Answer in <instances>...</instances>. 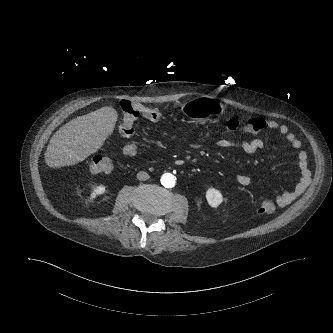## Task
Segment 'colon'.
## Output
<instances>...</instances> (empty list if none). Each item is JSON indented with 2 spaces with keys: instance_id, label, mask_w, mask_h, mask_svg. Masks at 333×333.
<instances>
[{
  "instance_id": "obj_1",
  "label": "colon",
  "mask_w": 333,
  "mask_h": 333,
  "mask_svg": "<svg viewBox=\"0 0 333 333\" xmlns=\"http://www.w3.org/2000/svg\"><path fill=\"white\" fill-rule=\"evenodd\" d=\"M123 118L119 125V132L124 137L132 136L135 131V122L143 116L152 122H161L165 120L164 114L151 107L140 104L123 101L121 104ZM267 121L262 118H249L247 120H239L230 118L226 122V126L231 131H241L245 133H259L267 126ZM112 160L106 156H94L88 163V170L91 173H108L112 170ZM259 212L261 214H273L276 211V204L271 200H264L260 203Z\"/></svg>"
}]
</instances>
